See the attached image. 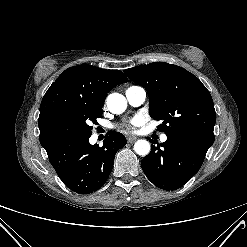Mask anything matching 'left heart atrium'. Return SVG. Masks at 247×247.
Instances as JSON below:
<instances>
[{
	"mask_svg": "<svg viewBox=\"0 0 247 247\" xmlns=\"http://www.w3.org/2000/svg\"><path fill=\"white\" fill-rule=\"evenodd\" d=\"M142 123V118L140 117H135L133 119H131L128 123L122 125L123 129H133L134 127L140 125Z\"/></svg>",
	"mask_w": 247,
	"mask_h": 247,
	"instance_id": "1",
	"label": "left heart atrium"
}]
</instances>
